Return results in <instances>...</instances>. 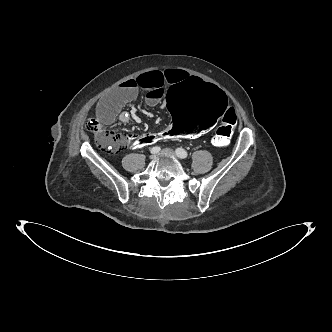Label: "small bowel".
I'll use <instances>...</instances> for the list:
<instances>
[{
	"instance_id": "obj_1",
	"label": "small bowel",
	"mask_w": 332,
	"mask_h": 332,
	"mask_svg": "<svg viewBox=\"0 0 332 332\" xmlns=\"http://www.w3.org/2000/svg\"><path fill=\"white\" fill-rule=\"evenodd\" d=\"M196 78L182 69L151 70L124 81L101 98L96 107V117L100 122L110 123L118 117L124 123L130 119L125 114H119L124 105L134 100L138 92H146V104L148 106L157 105L165 95V90L176 84H181L185 80ZM145 113L143 110H138ZM146 127H143L145 130ZM198 136H188L197 138ZM166 139V138H165ZM148 146V145H146Z\"/></svg>"
}]
</instances>
